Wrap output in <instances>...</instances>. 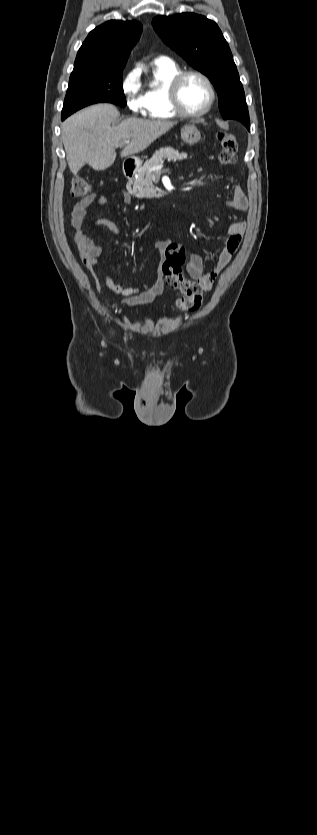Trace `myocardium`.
I'll use <instances>...</instances> for the list:
<instances>
[{"label": "myocardium", "instance_id": "f54148a6", "mask_svg": "<svg viewBox=\"0 0 317 835\" xmlns=\"http://www.w3.org/2000/svg\"><path fill=\"white\" fill-rule=\"evenodd\" d=\"M189 76H197L201 78L207 85L210 93L209 101L206 107L199 112H188L180 98L181 88L185 79ZM169 98L175 112L184 118H198L206 115L212 108L216 99V90L212 80L203 72L195 69L182 70L171 80L169 85Z\"/></svg>", "mask_w": 317, "mask_h": 835}]
</instances>
